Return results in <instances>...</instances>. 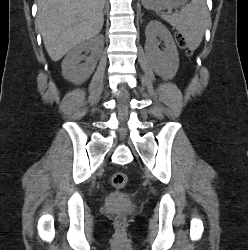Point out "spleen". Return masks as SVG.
Listing matches in <instances>:
<instances>
[{
    "label": "spleen",
    "mask_w": 248,
    "mask_h": 250,
    "mask_svg": "<svg viewBox=\"0 0 248 250\" xmlns=\"http://www.w3.org/2000/svg\"><path fill=\"white\" fill-rule=\"evenodd\" d=\"M162 18L176 28L190 50L199 47L211 21L205 0H191L180 12L172 15L163 14Z\"/></svg>",
    "instance_id": "spleen-1"
}]
</instances>
